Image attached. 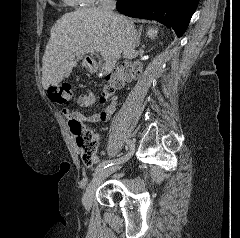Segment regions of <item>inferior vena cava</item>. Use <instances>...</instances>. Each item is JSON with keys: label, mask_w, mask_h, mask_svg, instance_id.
Returning a JSON list of instances; mask_svg holds the SVG:
<instances>
[{"label": "inferior vena cava", "mask_w": 240, "mask_h": 238, "mask_svg": "<svg viewBox=\"0 0 240 238\" xmlns=\"http://www.w3.org/2000/svg\"><path fill=\"white\" fill-rule=\"evenodd\" d=\"M115 7L116 0H99L98 11L107 19L117 22L124 27L122 37L123 57L126 59H131L135 49L136 31L133 26L128 25L119 15L113 12Z\"/></svg>", "instance_id": "inferior-vena-cava-1"}]
</instances>
